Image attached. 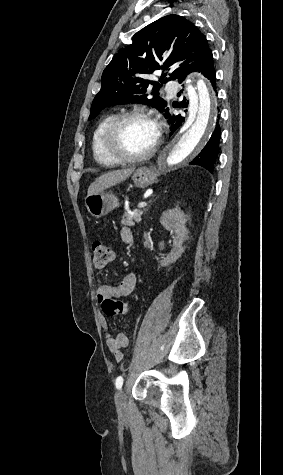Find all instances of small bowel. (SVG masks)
Segmentation results:
<instances>
[{
	"instance_id": "c3829d8e",
	"label": "small bowel",
	"mask_w": 283,
	"mask_h": 475,
	"mask_svg": "<svg viewBox=\"0 0 283 475\" xmlns=\"http://www.w3.org/2000/svg\"><path fill=\"white\" fill-rule=\"evenodd\" d=\"M121 239L126 245L134 244L135 237L132 230L128 227H124L121 230ZM137 284V278L134 273H129L126 275L120 284L110 285V284H100L96 287L95 297L96 301L102 306L103 309V300L105 293H124V295H129ZM127 311H124L122 314H126ZM108 316H117V315H108ZM101 326L104 331L107 346L110 352L113 354L116 361L120 362L124 358V350L129 344V339L126 334L119 333L115 337L112 335L106 319L103 317L101 319Z\"/></svg>"
}]
</instances>
